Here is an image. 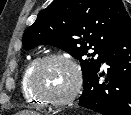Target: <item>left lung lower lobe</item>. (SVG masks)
<instances>
[{
  "instance_id": "0a47b994",
  "label": "left lung lower lobe",
  "mask_w": 131,
  "mask_h": 115,
  "mask_svg": "<svg viewBox=\"0 0 131 115\" xmlns=\"http://www.w3.org/2000/svg\"><path fill=\"white\" fill-rule=\"evenodd\" d=\"M102 62L109 66L107 78L100 67L84 87L79 106L102 115H131V28L110 47Z\"/></svg>"
}]
</instances>
